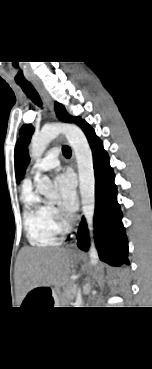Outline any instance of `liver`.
I'll return each instance as SVG.
<instances>
[{"label": "liver", "mask_w": 152, "mask_h": 369, "mask_svg": "<svg viewBox=\"0 0 152 369\" xmlns=\"http://www.w3.org/2000/svg\"><path fill=\"white\" fill-rule=\"evenodd\" d=\"M19 264V281L27 292L62 282L68 273V254L64 249L25 247L19 253Z\"/></svg>", "instance_id": "6515ba94"}]
</instances>
